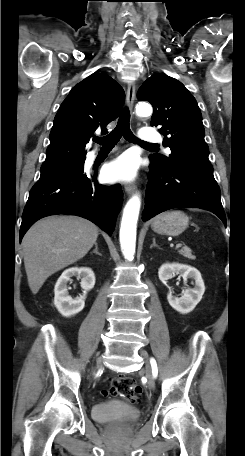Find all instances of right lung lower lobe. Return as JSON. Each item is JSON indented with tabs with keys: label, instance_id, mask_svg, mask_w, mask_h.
<instances>
[{
	"label": "right lung lower lobe",
	"instance_id": "right-lung-lower-lobe-1",
	"mask_svg": "<svg viewBox=\"0 0 245 456\" xmlns=\"http://www.w3.org/2000/svg\"><path fill=\"white\" fill-rule=\"evenodd\" d=\"M97 174L75 173L40 178L32 187L22 215L20 241L38 219L55 214L84 217L109 235L115 227L123 192L119 185L103 186Z\"/></svg>",
	"mask_w": 245,
	"mask_h": 456
}]
</instances>
